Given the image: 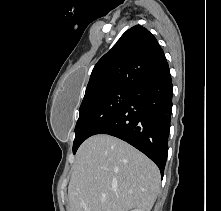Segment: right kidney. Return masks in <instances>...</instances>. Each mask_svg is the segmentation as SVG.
<instances>
[{
    "instance_id": "obj_1",
    "label": "right kidney",
    "mask_w": 221,
    "mask_h": 211,
    "mask_svg": "<svg viewBox=\"0 0 221 211\" xmlns=\"http://www.w3.org/2000/svg\"><path fill=\"white\" fill-rule=\"evenodd\" d=\"M132 211H143V210H141V209H134V210H132Z\"/></svg>"
}]
</instances>
